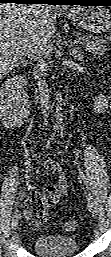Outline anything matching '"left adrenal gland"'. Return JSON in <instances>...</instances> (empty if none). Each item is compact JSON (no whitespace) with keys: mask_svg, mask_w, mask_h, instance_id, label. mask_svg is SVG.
I'll return each mask as SVG.
<instances>
[{"mask_svg":"<svg viewBox=\"0 0 111 257\" xmlns=\"http://www.w3.org/2000/svg\"><path fill=\"white\" fill-rule=\"evenodd\" d=\"M73 46V43L71 42L70 47ZM72 54L75 55V57H77L78 59H82L83 55H82V51L80 49V47H75L72 49Z\"/></svg>","mask_w":111,"mask_h":257,"instance_id":"a2214340","label":"left adrenal gland"}]
</instances>
